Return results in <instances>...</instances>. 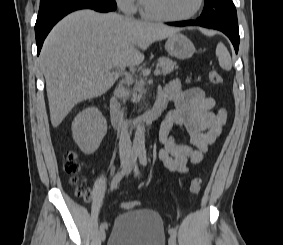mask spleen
Returning a JSON list of instances; mask_svg holds the SVG:
<instances>
[{"mask_svg": "<svg viewBox=\"0 0 283 245\" xmlns=\"http://www.w3.org/2000/svg\"><path fill=\"white\" fill-rule=\"evenodd\" d=\"M216 55L222 69L229 71L232 68L231 56L223 43H219L216 48Z\"/></svg>", "mask_w": 283, "mask_h": 245, "instance_id": "obj_1", "label": "spleen"}]
</instances>
